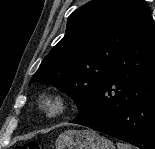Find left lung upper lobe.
<instances>
[{"label":"left lung upper lobe","instance_id":"obj_1","mask_svg":"<svg viewBox=\"0 0 155 149\" xmlns=\"http://www.w3.org/2000/svg\"><path fill=\"white\" fill-rule=\"evenodd\" d=\"M144 0H92L69 17L65 36L43 59L30 80L54 85L71 96L80 111L106 79L141 19Z\"/></svg>","mask_w":155,"mask_h":149}]
</instances>
